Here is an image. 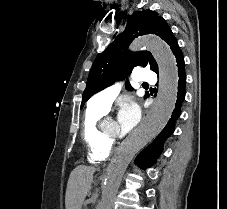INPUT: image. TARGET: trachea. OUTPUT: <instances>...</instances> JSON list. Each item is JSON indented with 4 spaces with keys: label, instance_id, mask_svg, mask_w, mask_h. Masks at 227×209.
I'll return each instance as SVG.
<instances>
[{
    "label": "trachea",
    "instance_id": "trachea-1",
    "mask_svg": "<svg viewBox=\"0 0 227 209\" xmlns=\"http://www.w3.org/2000/svg\"><path fill=\"white\" fill-rule=\"evenodd\" d=\"M144 86H145V87H148V84H145Z\"/></svg>",
    "mask_w": 227,
    "mask_h": 209
}]
</instances>
